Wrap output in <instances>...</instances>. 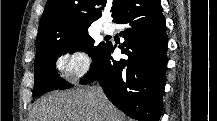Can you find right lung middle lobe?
Here are the masks:
<instances>
[{"instance_id":"1","label":"right lung middle lobe","mask_w":217,"mask_h":121,"mask_svg":"<svg viewBox=\"0 0 217 121\" xmlns=\"http://www.w3.org/2000/svg\"><path fill=\"white\" fill-rule=\"evenodd\" d=\"M87 29L84 28L62 39L36 46L33 97L52 90L71 87L55 71V62L60 55L81 50L89 54L93 65L98 61L107 42L96 45Z\"/></svg>"}]
</instances>
